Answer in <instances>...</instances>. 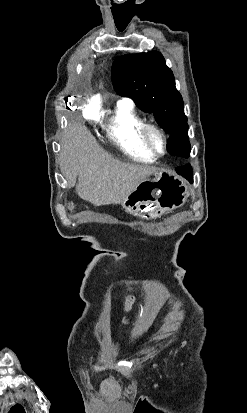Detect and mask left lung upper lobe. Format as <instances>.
Here are the masks:
<instances>
[{
    "label": "left lung upper lobe",
    "instance_id": "1",
    "mask_svg": "<svg viewBox=\"0 0 247 413\" xmlns=\"http://www.w3.org/2000/svg\"><path fill=\"white\" fill-rule=\"evenodd\" d=\"M112 82L120 96L132 98L141 110L153 114L170 134L168 152L171 155L189 157L191 149L182 96L159 52L118 57L112 65Z\"/></svg>",
    "mask_w": 247,
    "mask_h": 413
}]
</instances>
